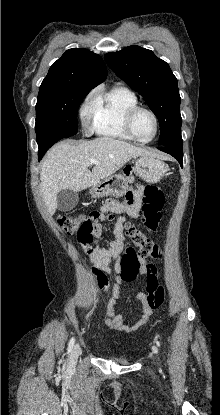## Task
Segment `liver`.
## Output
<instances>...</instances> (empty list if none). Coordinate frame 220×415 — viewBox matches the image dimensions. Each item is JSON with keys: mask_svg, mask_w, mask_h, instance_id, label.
<instances>
[{"mask_svg": "<svg viewBox=\"0 0 220 415\" xmlns=\"http://www.w3.org/2000/svg\"><path fill=\"white\" fill-rule=\"evenodd\" d=\"M153 156V153L125 141L100 137L78 145L60 143L46 155L40 173L41 193L48 212L57 208V194L61 190H85L112 176L130 159ZM97 159L92 171L90 159Z\"/></svg>", "mask_w": 220, "mask_h": 415, "instance_id": "liver-1", "label": "liver"}]
</instances>
